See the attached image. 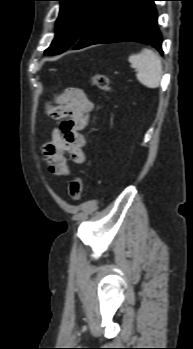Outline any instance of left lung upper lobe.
<instances>
[{
	"label": "left lung upper lobe",
	"mask_w": 193,
	"mask_h": 349,
	"mask_svg": "<svg viewBox=\"0 0 193 349\" xmlns=\"http://www.w3.org/2000/svg\"><path fill=\"white\" fill-rule=\"evenodd\" d=\"M60 13L56 21V35L46 55L61 54L78 42L86 28L109 0H57Z\"/></svg>",
	"instance_id": "left-lung-upper-lobe-1"
}]
</instances>
